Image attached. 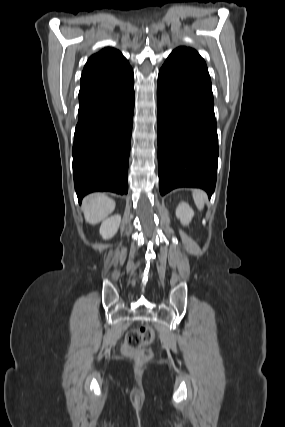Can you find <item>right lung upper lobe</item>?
Segmentation results:
<instances>
[{"label":"right lung upper lobe","mask_w":285,"mask_h":427,"mask_svg":"<svg viewBox=\"0 0 285 427\" xmlns=\"http://www.w3.org/2000/svg\"><path fill=\"white\" fill-rule=\"evenodd\" d=\"M128 68L129 62L121 52L106 47L88 59L82 72L80 90L114 78Z\"/></svg>","instance_id":"cb5924a9"}]
</instances>
